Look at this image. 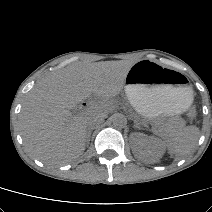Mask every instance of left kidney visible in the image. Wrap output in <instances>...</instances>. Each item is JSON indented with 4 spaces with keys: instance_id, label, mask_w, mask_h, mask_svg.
Wrapping results in <instances>:
<instances>
[{
    "instance_id": "obj_1",
    "label": "left kidney",
    "mask_w": 212,
    "mask_h": 212,
    "mask_svg": "<svg viewBox=\"0 0 212 212\" xmlns=\"http://www.w3.org/2000/svg\"><path fill=\"white\" fill-rule=\"evenodd\" d=\"M138 147L135 148V156L142 160H156L160 158L164 152L162 141L154 136H146L138 133Z\"/></svg>"
}]
</instances>
